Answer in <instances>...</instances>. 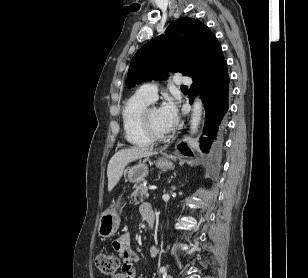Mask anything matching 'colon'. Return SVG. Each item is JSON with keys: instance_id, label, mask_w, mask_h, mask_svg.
<instances>
[{"instance_id": "colon-1", "label": "colon", "mask_w": 308, "mask_h": 278, "mask_svg": "<svg viewBox=\"0 0 308 278\" xmlns=\"http://www.w3.org/2000/svg\"><path fill=\"white\" fill-rule=\"evenodd\" d=\"M120 265L118 256L112 253H101L96 258V266L101 273L111 276L116 274Z\"/></svg>"}]
</instances>
